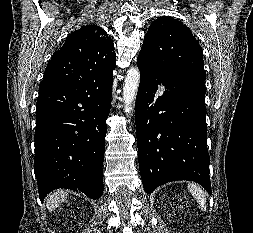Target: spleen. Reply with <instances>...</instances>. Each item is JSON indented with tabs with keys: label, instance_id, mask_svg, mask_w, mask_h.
Listing matches in <instances>:
<instances>
[{
	"label": "spleen",
	"instance_id": "obj_1",
	"mask_svg": "<svg viewBox=\"0 0 253 233\" xmlns=\"http://www.w3.org/2000/svg\"><path fill=\"white\" fill-rule=\"evenodd\" d=\"M188 190L199 204L202 211L206 210V195L202 188L194 183L188 184Z\"/></svg>",
	"mask_w": 253,
	"mask_h": 233
}]
</instances>
